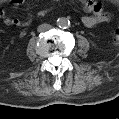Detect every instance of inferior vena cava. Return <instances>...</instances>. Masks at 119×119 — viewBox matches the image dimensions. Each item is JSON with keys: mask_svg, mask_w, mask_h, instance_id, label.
<instances>
[{"mask_svg": "<svg viewBox=\"0 0 119 119\" xmlns=\"http://www.w3.org/2000/svg\"><path fill=\"white\" fill-rule=\"evenodd\" d=\"M51 27H52V26H51L50 24L44 23V24L39 25L38 31H39V32H45V31L50 30Z\"/></svg>", "mask_w": 119, "mask_h": 119, "instance_id": "602c4592", "label": "inferior vena cava"}]
</instances>
